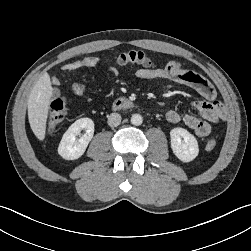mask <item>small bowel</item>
Masks as SVG:
<instances>
[{"label": "small bowel", "instance_id": "c3829d8e", "mask_svg": "<svg viewBox=\"0 0 251 251\" xmlns=\"http://www.w3.org/2000/svg\"><path fill=\"white\" fill-rule=\"evenodd\" d=\"M97 57H85L80 60L69 62L62 66L65 72H71L80 68H91L98 64ZM135 76L141 80H157L167 79L173 82L186 85L194 89L204 100L196 101L192 107L199 115L187 113L181 115L176 110H169L166 113L168 122L176 124L182 122L187 128L193 130L199 137H205L210 134L212 125L218 123L224 118V110L222 105L216 100V91L212 84L200 74L187 70L178 61H170L164 67H143L136 71ZM54 86L53 96H59L58 85L60 78L54 76L52 78ZM72 91L78 96H82L87 92V86L81 83H75Z\"/></svg>", "mask_w": 251, "mask_h": 251}]
</instances>
